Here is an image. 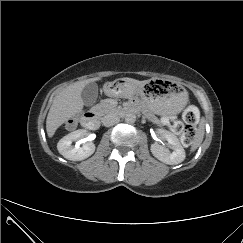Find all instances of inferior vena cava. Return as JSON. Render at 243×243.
Here are the masks:
<instances>
[{
  "label": "inferior vena cava",
  "mask_w": 243,
  "mask_h": 243,
  "mask_svg": "<svg viewBox=\"0 0 243 243\" xmlns=\"http://www.w3.org/2000/svg\"><path fill=\"white\" fill-rule=\"evenodd\" d=\"M119 117L114 114V113H110V114H107L103 117L102 119V123L104 126L106 127H110L112 125H115L119 122Z\"/></svg>",
  "instance_id": "1"
}]
</instances>
